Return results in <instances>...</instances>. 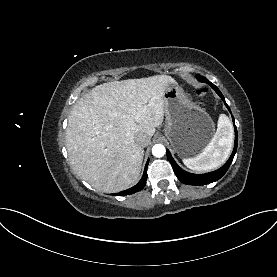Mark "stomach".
I'll use <instances>...</instances> for the list:
<instances>
[{"label":"stomach","instance_id":"1","mask_svg":"<svg viewBox=\"0 0 277 277\" xmlns=\"http://www.w3.org/2000/svg\"><path fill=\"white\" fill-rule=\"evenodd\" d=\"M166 124L164 134L181 158L199 155L215 134V124L206 112L192 102L177 83L164 94Z\"/></svg>","mask_w":277,"mask_h":277}]
</instances>
